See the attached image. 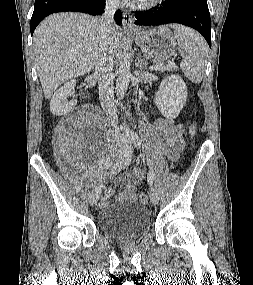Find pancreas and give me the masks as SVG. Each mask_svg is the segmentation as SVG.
<instances>
[{"label":"pancreas","mask_w":253,"mask_h":285,"mask_svg":"<svg viewBox=\"0 0 253 285\" xmlns=\"http://www.w3.org/2000/svg\"><path fill=\"white\" fill-rule=\"evenodd\" d=\"M156 65H162V63L156 61ZM169 69H171V70H172V69L177 70L178 68H177L176 66H172V67H170Z\"/></svg>","instance_id":"1"}]
</instances>
